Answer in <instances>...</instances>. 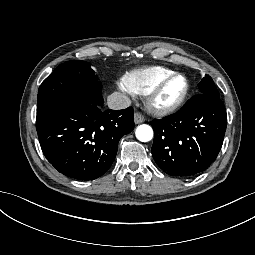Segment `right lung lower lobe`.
<instances>
[{
	"mask_svg": "<svg viewBox=\"0 0 255 255\" xmlns=\"http://www.w3.org/2000/svg\"><path fill=\"white\" fill-rule=\"evenodd\" d=\"M101 104L70 94L37 109L42 151L65 176L93 180L112 165L120 138L134 128L132 107L101 111Z\"/></svg>",
	"mask_w": 255,
	"mask_h": 255,
	"instance_id": "obj_1",
	"label": "right lung lower lobe"
}]
</instances>
